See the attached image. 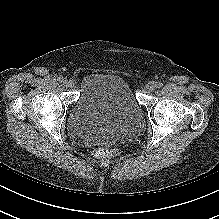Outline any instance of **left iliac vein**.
<instances>
[{
    "instance_id": "1",
    "label": "left iliac vein",
    "mask_w": 219,
    "mask_h": 219,
    "mask_svg": "<svg viewBox=\"0 0 219 219\" xmlns=\"http://www.w3.org/2000/svg\"><path fill=\"white\" fill-rule=\"evenodd\" d=\"M144 88H145V90H147V91H149V92H152V91L155 90L156 85H155V83H154L153 81H150V82H148V83L145 85Z\"/></svg>"
}]
</instances>
